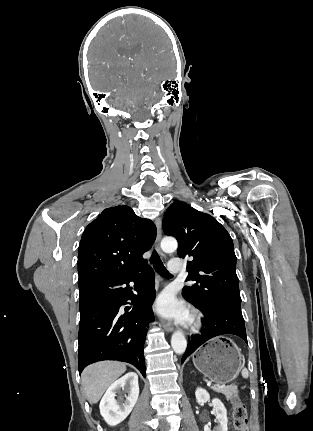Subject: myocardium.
Segmentation results:
<instances>
[{
  "instance_id": "f54148a6",
  "label": "myocardium",
  "mask_w": 313,
  "mask_h": 431,
  "mask_svg": "<svg viewBox=\"0 0 313 431\" xmlns=\"http://www.w3.org/2000/svg\"><path fill=\"white\" fill-rule=\"evenodd\" d=\"M189 324L192 331H199L203 326L202 314L197 310H193L189 316Z\"/></svg>"
}]
</instances>
